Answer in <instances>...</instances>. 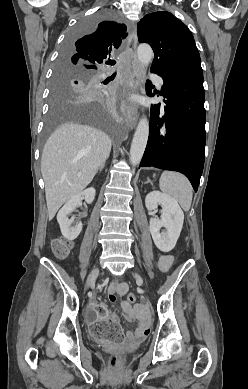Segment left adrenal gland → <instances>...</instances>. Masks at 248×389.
<instances>
[{
    "mask_svg": "<svg viewBox=\"0 0 248 389\" xmlns=\"http://www.w3.org/2000/svg\"><path fill=\"white\" fill-rule=\"evenodd\" d=\"M146 183L152 184L151 181H150V179H147V181L145 182V184H146Z\"/></svg>",
    "mask_w": 248,
    "mask_h": 389,
    "instance_id": "obj_1",
    "label": "left adrenal gland"
}]
</instances>
